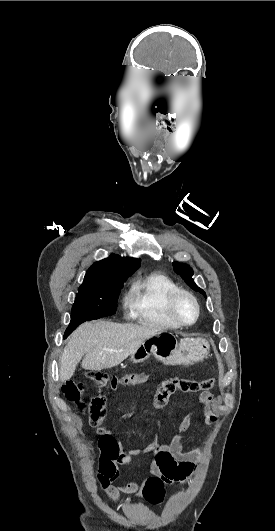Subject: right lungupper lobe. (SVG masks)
I'll list each match as a JSON object with an SVG mask.
<instances>
[{"instance_id": "right-lung-upper-lobe-1", "label": "right lung upper lobe", "mask_w": 275, "mask_h": 531, "mask_svg": "<svg viewBox=\"0 0 275 531\" xmlns=\"http://www.w3.org/2000/svg\"><path fill=\"white\" fill-rule=\"evenodd\" d=\"M140 266V260L111 254L95 262L86 272L83 282L126 279Z\"/></svg>"}]
</instances>
